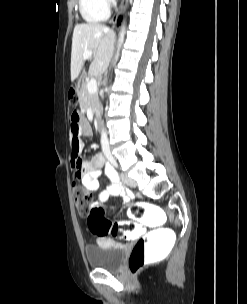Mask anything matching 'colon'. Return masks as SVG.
<instances>
[{
	"label": "colon",
	"instance_id": "colon-1",
	"mask_svg": "<svg viewBox=\"0 0 247 304\" xmlns=\"http://www.w3.org/2000/svg\"><path fill=\"white\" fill-rule=\"evenodd\" d=\"M69 101L71 105L76 104L74 93L69 94ZM73 197L79 213L88 217L89 228L94 234L125 238V241H136L139 238L129 257L132 273L138 272L151 259H166V253H171V248H175V231L173 225H163L168 215L164 214L160 202H134L129 210L131 220L111 222L105 219L101 206H92V194L87 190L76 185ZM139 221L141 225H154V229H148L146 233V228L137 223Z\"/></svg>",
	"mask_w": 247,
	"mask_h": 304
}]
</instances>
